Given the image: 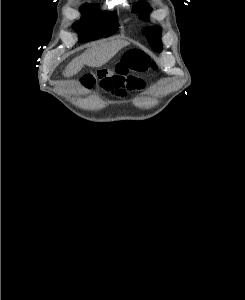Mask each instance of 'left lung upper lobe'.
<instances>
[{"label":"left lung upper lobe","instance_id":"5c2ea615","mask_svg":"<svg viewBox=\"0 0 245 300\" xmlns=\"http://www.w3.org/2000/svg\"><path fill=\"white\" fill-rule=\"evenodd\" d=\"M152 8L149 4L144 3L143 1L138 2L134 8L133 12L139 11V17L141 19L148 20V14L151 12ZM145 36L147 37L149 45L157 52H160L162 49V43L160 40L161 30L158 26L150 27L146 29Z\"/></svg>","mask_w":245,"mask_h":300}]
</instances>
